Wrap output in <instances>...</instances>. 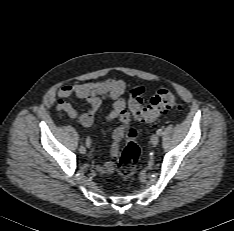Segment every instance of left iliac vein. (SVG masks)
<instances>
[{"label":"left iliac vein","mask_w":234,"mask_h":231,"mask_svg":"<svg viewBox=\"0 0 234 231\" xmlns=\"http://www.w3.org/2000/svg\"><path fill=\"white\" fill-rule=\"evenodd\" d=\"M150 141H151V143H152L153 145H157L158 142H159V137H158V135H156V134L152 135L151 138H150Z\"/></svg>","instance_id":"1"}]
</instances>
